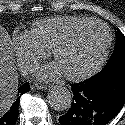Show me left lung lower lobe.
<instances>
[{"label":"left lung lower lobe","instance_id":"obj_1","mask_svg":"<svg viewBox=\"0 0 125 125\" xmlns=\"http://www.w3.org/2000/svg\"><path fill=\"white\" fill-rule=\"evenodd\" d=\"M73 102L61 125H106L125 103V67L72 84Z\"/></svg>","mask_w":125,"mask_h":125}]
</instances>
